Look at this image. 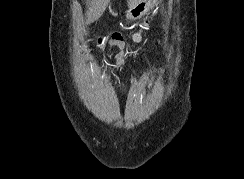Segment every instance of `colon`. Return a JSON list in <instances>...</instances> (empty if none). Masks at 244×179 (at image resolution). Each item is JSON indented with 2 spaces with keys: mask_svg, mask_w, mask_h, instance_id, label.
Returning <instances> with one entry per match:
<instances>
[{
  "mask_svg": "<svg viewBox=\"0 0 244 179\" xmlns=\"http://www.w3.org/2000/svg\"><path fill=\"white\" fill-rule=\"evenodd\" d=\"M79 49H80V51L84 54V55H89V52H88V50H87V48H86V46L85 45H81L80 47H79Z\"/></svg>",
  "mask_w": 244,
  "mask_h": 179,
  "instance_id": "1",
  "label": "colon"
}]
</instances>
